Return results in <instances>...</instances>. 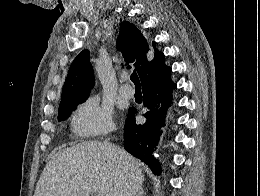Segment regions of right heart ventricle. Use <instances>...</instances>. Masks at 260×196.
<instances>
[{
	"label": "right heart ventricle",
	"instance_id": "obj_1",
	"mask_svg": "<svg viewBox=\"0 0 260 196\" xmlns=\"http://www.w3.org/2000/svg\"><path fill=\"white\" fill-rule=\"evenodd\" d=\"M65 192H85V190H66Z\"/></svg>",
	"mask_w": 260,
	"mask_h": 196
}]
</instances>
